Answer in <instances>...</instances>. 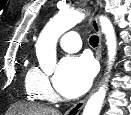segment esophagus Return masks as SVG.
Segmentation results:
<instances>
[{
	"label": "esophagus",
	"instance_id": "obj_1",
	"mask_svg": "<svg viewBox=\"0 0 131 115\" xmlns=\"http://www.w3.org/2000/svg\"><path fill=\"white\" fill-rule=\"evenodd\" d=\"M98 5H99V1H97V3H96V10L98 8ZM92 26H93V29L97 32V34L99 36V45H98V48L96 51V57L98 60H100L101 56H102V36H101V31H100V27H99L98 20H97L96 16L92 17ZM87 99H88V97L77 102L75 105H73L71 108H69L65 112V115H78L80 113V111L82 110V108L84 107Z\"/></svg>",
	"mask_w": 131,
	"mask_h": 115
}]
</instances>
